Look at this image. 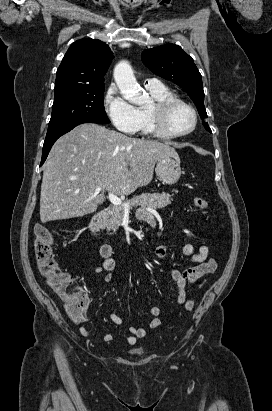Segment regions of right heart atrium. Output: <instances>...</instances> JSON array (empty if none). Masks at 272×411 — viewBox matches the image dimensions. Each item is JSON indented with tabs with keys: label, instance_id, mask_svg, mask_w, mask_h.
<instances>
[{
	"label": "right heart atrium",
	"instance_id": "1",
	"mask_svg": "<svg viewBox=\"0 0 272 411\" xmlns=\"http://www.w3.org/2000/svg\"><path fill=\"white\" fill-rule=\"evenodd\" d=\"M104 109L113 125L121 132L133 134L138 131V109L120 95L115 85H111L105 93Z\"/></svg>",
	"mask_w": 272,
	"mask_h": 411
}]
</instances>
